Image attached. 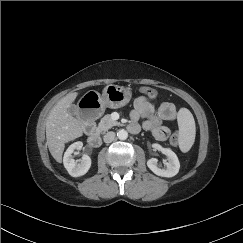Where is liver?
I'll return each instance as SVG.
<instances>
[{
	"mask_svg": "<svg viewBox=\"0 0 243 243\" xmlns=\"http://www.w3.org/2000/svg\"><path fill=\"white\" fill-rule=\"evenodd\" d=\"M77 95V92L67 94L57 102L47 117V145L52 157L58 163L62 162L65 143L83 135V128L80 122L67 111Z\"/></svg>",
	"mask_w": 243,
	"mask_h": 243,
	"instance_id": "obj_1",
	"label": "liver"
}]
</instances>
